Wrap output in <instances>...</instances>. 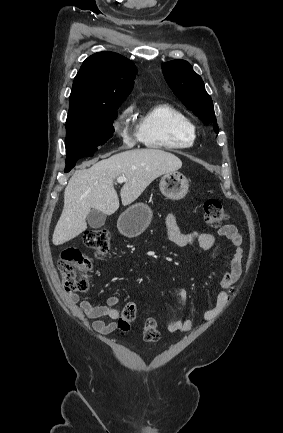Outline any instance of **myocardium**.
Listing matches in <instances>:
<instances>
[{
  "instance_id": "f54148a6",
  "label": "myocardium",
  "mask_w": 283,
  "mask_h": 433,
  "mask_svg": "<svg viewBox=\"0 0 283 433\" xmlns=\"http://www.w3.org/2000/svg\"><path fill=\"white\" fill-rule=\"evenodd\" d=\"M183 137L186 140L193 142L196 139V130L194 127L185 129L183 132Z\"/></svg>"
}]
</instances>
